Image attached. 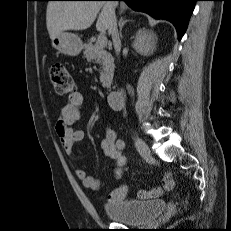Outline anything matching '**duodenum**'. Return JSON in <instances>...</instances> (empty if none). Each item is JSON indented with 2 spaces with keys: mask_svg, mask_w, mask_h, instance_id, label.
<instances>
[{
  "mask_svg": "<svg viewBox=\"0 0 231 231\" xmlns=\"http://www.w3.org/2000/svg\"><path fill=\"white\" fill-rule=\"evenodd\" d=\"M109 106L114 110H120L123 107V91H111L107 97Z\"/></svg>",
  "mask_w": 231,
  "mask_h": 231,
  "instance_id": "duodenum-1",
  "label": "duodenum"
}]
</instances>
